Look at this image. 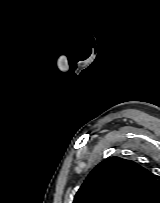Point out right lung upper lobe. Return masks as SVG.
Instances as JSON below:
<instances>
[{
	"mask_svg": "<svg viewBox=\"0 0 160 203\" xmlns=\"http://www.w3.org/2000/svg\"><path fill=\"white\" fill-rule=\"evenodd\" d=\"M159 194L160 183L153 173L114 156L90 172L73 203H153Z\"/></svg>",
	"mask_w": 160,
	"mask_h": 203,
	"instance_id": "right-lung-upper-lobe-1",
	"label": "right lung upper lobe"
}]
</instances>
